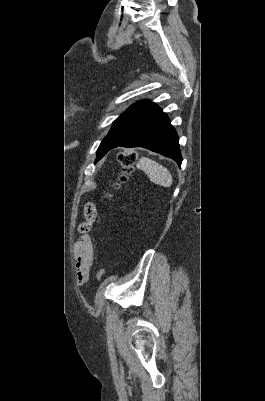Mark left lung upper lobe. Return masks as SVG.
I'll return each mask as SVG.
<instances>
[{
  "label": "left lung upper lobe",
  "mask_w": 265,
  "mask_h": 401,
  "mask_svg": "<svg viewBox=\"0 0 265 401\" xmlns=\"http://www.w3.org/2000/svg\"><path fill=\"white\" fill-rule=\"evenodd\" d=\"M150 104V101H141L138 102L131 107H129L123 114H121L113 123L111 130L109 131L108 135L113 132L118 126H120L126 119L143 109L145 106Z\"/></svg>",
  "instance_id": "5c2ea615"
}]
</instances>
